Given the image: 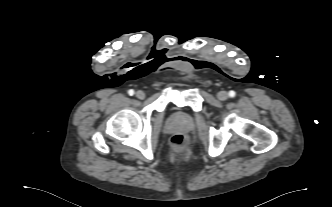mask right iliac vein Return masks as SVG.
Returning a JSON list of instances; mask_svg holds the SVG:
<instances>
[{
  "label": "right iliac vein",
  "instance_id": "obj_1",
  "mask_svg": "<svg viewBox=\"0 0 332 207\" xmlns=\"http://www.w3.org/2000/svg\"><path fill=\"white\" fill-rule=\"evenodd\" d=\"M136 97L140 100L144 99L145 98V93L141 90L137 91L136 92Z\"/></svg>",
  "mask_w": 332,
  "mask_h": 207
}]
</instances>
